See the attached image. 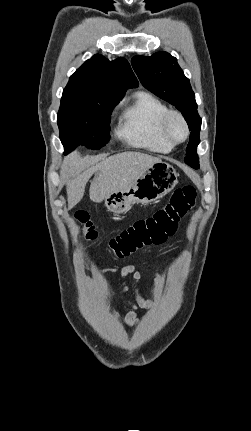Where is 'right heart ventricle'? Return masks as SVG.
<instances>
[{
  "label": "right heart ventricle",
  "instance_id": "e07e8e85",
  "mask_svg": "<svg viewBox=\"0 0 251 431\" xmlns=\"http://www.w3.org/2000/svg\"><path fill=\"white\" fill-rule=\"evenodd\" d=\"M167 111L166 104L153 94L137 92L122 109L117 134L132 146L167 154L174 148L160 130Z\"/></svg>",
  "mask_w": 251,
  "mask_h": 431
}]
</instances>
